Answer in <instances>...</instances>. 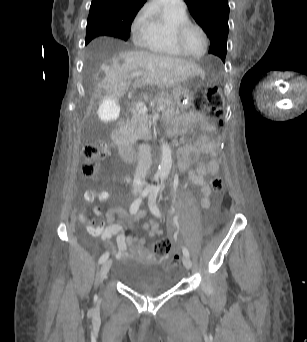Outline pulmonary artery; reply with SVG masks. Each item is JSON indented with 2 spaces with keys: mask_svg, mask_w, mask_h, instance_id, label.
<instances>
[{
  "mask_svg": "<svg viewBox=\"0 0 307 342\" xmlns=\"http://www.w3.org/2000/svg\"><path fill=\"white\" fill-rule=\"evenodd\" d=\"M162 9H156L155 14L159 16L161 11L171 10V11H183L187 9L186 1H160Z\"/></svg>",
  "mask_w": 307,
  "mask_h": 342,
  "instance_id": "1",
  "label": "pulmonary artery"
}]
</instances>
